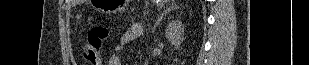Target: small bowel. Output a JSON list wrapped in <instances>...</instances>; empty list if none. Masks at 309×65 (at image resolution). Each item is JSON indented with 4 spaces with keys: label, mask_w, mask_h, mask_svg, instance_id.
<instances>
[{
    "label": "small bowel",
    "mask_w": 309,
    "mask_h": 65,
    "mask_svg": "<svg viewBox=\"0 0 309 65\" xmlns=\"http://www.w3.org/2000/svg\"><path fill=\"white\" fill-rule=\"evenodd\" d=\"M143 34V28L140 24H134L126 29L119 37L117 47L122 48ZM108 65H122V60L118 54H111L108 59Z\"/></svg>",
    "instance_id": "small-bowel-1"
}]
</instances>
